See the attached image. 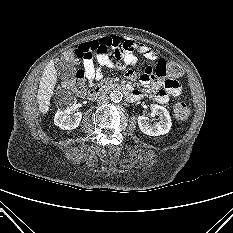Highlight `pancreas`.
<instances>
[{
	"label": "pancreas",
	"mask_w": 233,
	"mask_h": 233,
	"mask_svg": "<svg viewBox=\"0 0 233 233\" xmlns=\"http://www.w3.org/2000/svg\"><path fill=\"white\" fill-rule=\"evenodd\" d=\"M112 83H113V81H112L111 79L107 78V79H103V80L100 82L99 86L108 87V86H111Z\"/></svg>",
	"instance_id": "obj_1"
}]
</instances>
